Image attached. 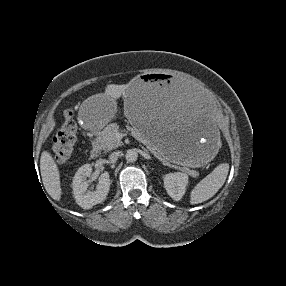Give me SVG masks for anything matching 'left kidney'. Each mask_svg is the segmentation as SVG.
I'll use <instances>...</instances> for the list:
<instances>
[{
  "label": "left kidney",
  "instance_id": "left-kidney-1",
  "mask_svg": "<svg viewBox=\"0 0 286 286\" xmlns=\"http://www.w3.org/2000/svg\"><path fill=\"white\" fill-rule=\"evenodd\" d=\"M188 175L181 172L169 173L164 176V187L168 195L179 201L186 192Z\"/></svg>",
  "mask_w": 286,
  "mask_h": 286
}]
</instances>
